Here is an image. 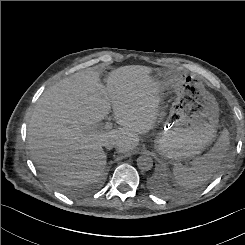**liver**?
<instances>
[{
  "mask_svg": "<svg viewBox=\"0 0 245 245\" xmlns=\"http://www.w3.org/2000/svg\"><path fill=\"white\" fill-rule=\"evenodd\" d=\"M152 68L122 66L110 72L107 87L100 73L77 72L45 90L28 124L27 142L32 160L47 175L64 185L88 184L104 171L107 155L102 146L115 141L126 153L139 135L153 129L161 101V82ZM113 107L118 129L91 130Z\"/></svg>",
  "mask_w": 245,
  "mask_h": 245,
  "instance_id": "6515ba94",
  "label": "liver"
}]
</instances>
